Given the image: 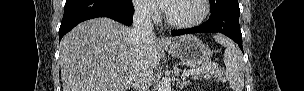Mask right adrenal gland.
Wrapping results in <instances>:
<instances>
[{
	"instance_id": "right-adrenal-gland-1",
	"label": "right adrenal gland",
	"mask_w": 304,
	"mask_h": 91,
	"mask_svg": "<svg viewBox=\"0 0 304 91\" xmlns=\"http://www.w3.org/2000/svg\"><path fill=\"white\" fill-rule=\"evenodd\" d=\"M128 88L130 89V88H135L136 89V86H135V84H129L128 85Z\"/></svg>"
}]
</instances>
